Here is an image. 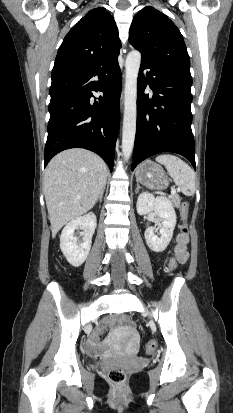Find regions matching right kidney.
<instances>
[{"mask_svg": "<svg viewBox=\"0 0 233 413\" xmlns=\"http://www.w3.org/2000/svg\"><path fill=\"white\" fill-rule=\"evenodd\" d=\"M97 225L96 216L90 212L71 220L62 230L60 248L67 261L74 267H79L87 259L92 244V236ZM82 228L83 243L78 244L74 231Z\"/></svg>", "mask_w": 233, "mask_h": 413, "instance_id": "1", "label": "right kidney"}]
</instances>
